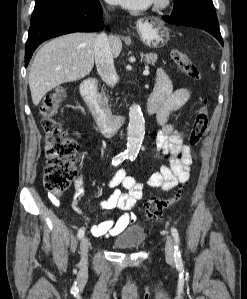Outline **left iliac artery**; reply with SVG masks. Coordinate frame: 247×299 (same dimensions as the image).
<instances>
[{
    "mask_svg": "<svg viewBox=\"0 0 247 299\" xmlns=\"http://www.w3.org/2000/svg\"><path fill=\"white\" fill-rule=\"evenodd\" d=\"M135 157H130V160L133 161ZM171 234L174 238L175 241V246H174V257H175V262L177 263L178 266H182V258L180 254V249H179V233L176 228L171 229Z\"/></svg>",
    "mask_w": 247,
    "mask_h": 299,
    "instance_id": "left-iliac-artery-1",
    "label": "left iliac artery"
}]
</instances>
